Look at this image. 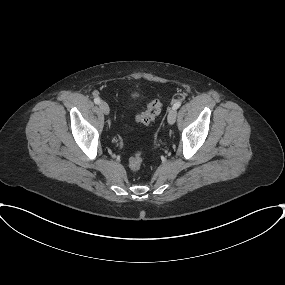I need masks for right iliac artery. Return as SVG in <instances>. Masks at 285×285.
Masks as SVG:
<instances>
[{
	"label": "right iliac artery",
	"instance_id": "obj_1",
	"mask_svg": "<svg viewBox=\"0 0 285 285\" xmlns=\"http://www.w3.org/2000/svg\"><path fill=\"white\" fill-rule=\"evenodd\" d=\"M94 102H95L96 104H99V103H100V98L96 97V98L94 99Z\"/></svg>",
	"mask_w": 285,
	"mask_h": 285
}]
</instances>
